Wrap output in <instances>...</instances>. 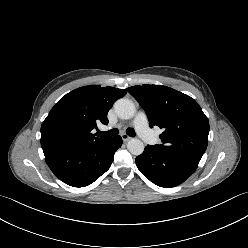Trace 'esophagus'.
Wrapping results in <instances>:
<instances>
[{
    "instance_id": "1",
    "label": "esophagus",
    "mask_w": 248,
    "mask_h": 248,
    "mask_svg": "<svg viewBox=\"0 0 248 248\" xmlns=\"http://www.w3.org/2000/svg\"><path fill=\"white\" fill-rule=\"evenodd\" d=\"M121 137H122V140H123L124 142H127V141H129V140L132 139V138H131L130 136H128L127 134H122Z\"/></svg>"
}]
</instances>
